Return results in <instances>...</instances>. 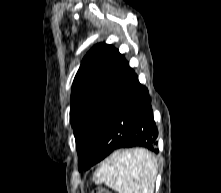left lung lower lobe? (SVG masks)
I'll list each match as a JSON object with an SVG mask.
<instances>
[{
	"label": "left lung lower lobe",
	"mask_w": 221,
	"mask_h": 193,
	"mask_svg": "<svg viewBox=\"0 0 221 193\" xmlns=\"http://www.w3.org/2000/svg\"><path fill=\"white\" fill-rule=\"evenodd\" d=\"M157 137L148 89L139 83L137 75L129 68L112 106L107 132L84 169L121 148L144 147L158 153Z\"/></svg>",
	"instance_id": "0a47b994"
}]
</instances>
